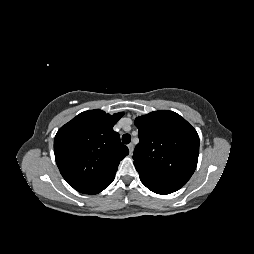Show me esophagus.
I'll return each instance as SVG.
<instances>
[{"mask_svg":"<svg viewBox=\"0 0 254 254\" xmlns=\"http://www.w3.org/2000/svg\"><path fill=\"white\" fill-rule=\"evenodd\" d=\"M128 149L130 154L132 155L133 151H134V145L132 143L128 144Z\"/></svg>","mask_w":254,"mask_h":254,"instance_id":"34e87169","label":"esophagus"}]
</instances>
